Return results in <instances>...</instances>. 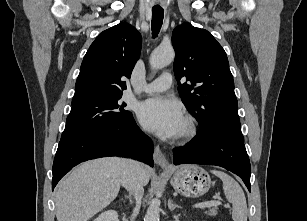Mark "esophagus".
Wrapping results in <instances>:
<instances>
[{"label":"esophagus","mask_w":307,"mask_h":221,"mask_svg":"<svg viewBox=\"0 0 307 221\" xmlns=\"http://www.w3.org/2000/svg\"><path fill=\"white\" fill-rule=\"evenodd\" d=\"M153 158H154V162L162 167V168H167L169 167V163L166 160L164 154L162 153L161 149L159 148V146H156L154 149V154H153Z\"/></svg>","instance_id":"34e87169"}]
</instances>
